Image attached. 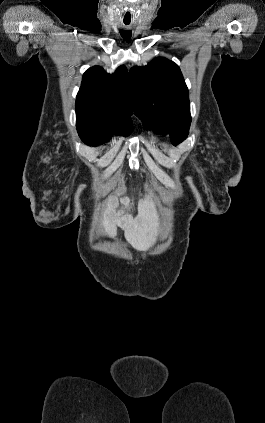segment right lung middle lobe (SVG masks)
<instances>
[{
  "instance_id": "obj_1",
  "label": "right lung middle lobe",
  "mask_w": 265,
  "mask_h": 423,
  "mask_svg": "<svg viewBox=\"0 0 265 423\" xmlns=\"http://www.w3.org/2000/svg\"><path fill=\"white\" fill-rule=\"evenodd\" d=\"M77 131L82 141L89 146L100 145L111 137V134L128 136L132 130V120L123 123H108L98 118L77 114Z\"/></svg>"
}]
</instances>
